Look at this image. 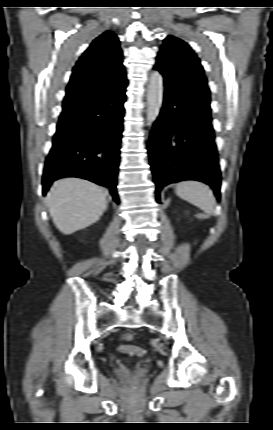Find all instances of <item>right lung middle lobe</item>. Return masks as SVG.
I'll use <instances>...</instances> for the list:
<instances>
[{
	"mask_svg": "<svg viewBox=\"0 0 273 430\" xmlns=\"http://www.w3.org/2000/svg\"><path fill=\"white\" fill-rule=\"evenodd\" d=\"M71 117H73V116H64V115H62V116L60 117V119H59V123H60V122L65 121V120H67V119H69V118H71Z\"/></svg>",
	"mask_w": 273,
	"mask_h": 430,
	"instance_id": "dd1d6c3e",
	"label": "right lung middle lobe"
}]
</instances>
